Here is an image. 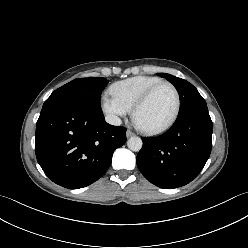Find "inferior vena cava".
Listing matches in <instances>:
<instances>
[{
    "label": "inferior vena cava",
    "instance_id": "obj_1",
    "mask_svg": "<svg viewBox=\"0 0 248 248\" xmlns=\"http://www.w3.org/2000/svg\"><path fill=\"white\" fill-rule=\"evenodd\" d=\"M105 121L111 125H115V126H119L121 125L122 121L119 117H117L116 115H107L105 117Z\"/></svg>",
    "mask_w": 248,
    "mask_h": 248
}]
</instances>
